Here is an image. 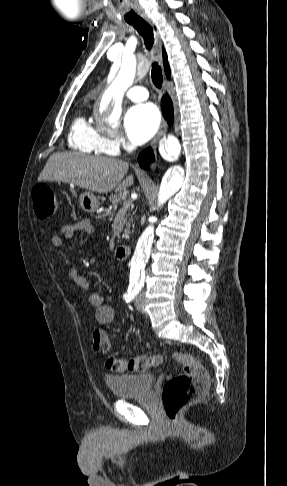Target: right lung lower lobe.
Masks as SVG:
<instances>
[{"label":"right lung lower lobe","mask_w":287,"mask_h":486,"mask_svg":"<svg viewBox=\"0 0 287 486\" xmlns=\"http://www.w3.org/2000/svg\"><path fill=\"white\" fill-rule=\"evenodd\" d=\"M161 107H162V112L165 117V119L168 121V123H171L173 121V105L170 97L166 94L163 96L161 100ZM154 156L152 155V151L150 149H147L140 153L138 157V162L141 167L148 169V160H152Z\"/></svg>","instance_id":"obj_1"}]
</instances>
